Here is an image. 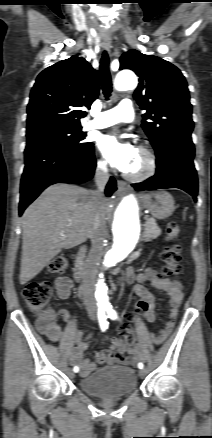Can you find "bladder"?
<instances>
[{
  "mask_svg": "<svg viewBox=\"0 0 212 438\" xmlns=\"http://www.w3.org/2000/svg\"><path fill=\"white\" fill-rule=\"evenodd\" d=\"M78 385L87 393L113 399L133 393L137 388V377L131 368L111 367L81 378Z\"/></svg>",
  "mask_w": 212,
  "mask_h": 438,
  "instance_id": "obj_1",
  "label": "bladder"
}]
</instances>
